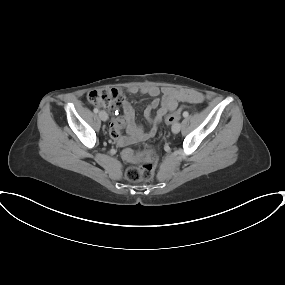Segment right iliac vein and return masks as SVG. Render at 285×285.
<instances>
[{
    "instance_id": "63e3f726",
    "label": "right iliac vein",
    "mask_w": 285,
    "mask_h": 285,
    "mask_svg": "<svg viewBox=\"0 0 285 285\" xmlns=\"http://www.w3.org/2000/svg\"><path fill=\"white\" fill-rule=\"evenodd\" d=\"M99 118L102 120V121H107L108 119V115L105 111H100L99 112Z\"/></svg>"
}]
</instances>
